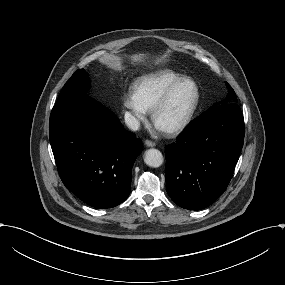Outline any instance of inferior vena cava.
Here are the masks:
<instances>
[{"label":"inferior vena cava","instance_id":"inferior-vena-cava-1","mask_svg":"<svg viewBox=\"0 0 285 285\" xmlns=\"http://www.w3.org/2000/svg\"><path fill=\"white\" fill-rule=\"evenodd\" d=\"M124 118H125V123L129 129H131L132 131H137L139 129L140 125L139 120L135 118L133 115H131L130 113H125Z\"/></svg>","mask_w":285,"mask_h":285}]
</instances>
